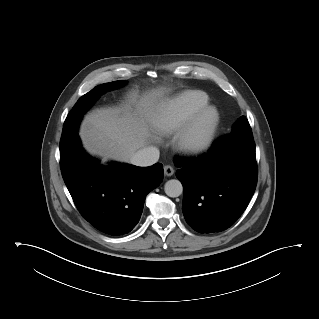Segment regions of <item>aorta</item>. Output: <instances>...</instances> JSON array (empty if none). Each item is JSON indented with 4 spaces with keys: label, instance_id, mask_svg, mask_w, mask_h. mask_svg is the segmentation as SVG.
Here are the masks:
<instances>
[{
    "label": "aorta",
    "instance_id": "obj_1",
    "mask_svg": "<svg viewBox=\"0 0 319 319\" xmlns=\"http://www.w3.org/2000/svg\"><path fill=\"white\" fill-rule=\"evenodd\" d=\"M164 190L169 197L174 198L182 194L183 186L179 180L171 179L165 183Z\"/></svg>",
    "mask_w": 319,
    "mask_h": 319
}]
</instances>
